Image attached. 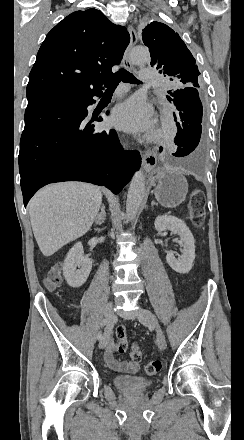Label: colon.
Returning a JSON list of instances; mask_svg holds the SVG:
<instances>
[{
    "label": "colon",
    "mask_w": 244,
    "mask_h": 440,
    "mask_svg": "<svg viewBox=\"0 0 244 440\" xmlns=\"http://www.w3.org/2000/svg\"><path fill=\"white\" fill-rule=\"evenodd\" d=\"M190 219L195 227H200L203 224L205 216V201L201 190H195L190 199ZM47 286H57L61 282V277L56 272H51L45 279ZM116 351L118 353L125 352L129 345L127 335L123 326H119L116 330ZM130 359L133 363H139L143 359V352L139 345L132 344L129 350ZM162 364L159 360L147 361L144 365L145 374L148 377H154L160 373Z\"/></svg>",
    "instance_id": "5ec220e1"
}]
</instances>
